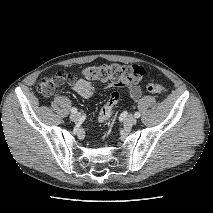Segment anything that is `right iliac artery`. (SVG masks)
I'll return each instance as SVG.
<instances>
[{"instance_id":"obj_1","label":"right iliac artery","mask_w":213,"mask_h":213,"mask_svg":"<svg viewBox=\"0 0 213 213\" xmlns=\"http://www.w3.org/2000/svg\"><path fill=\"white\" fill-rule=\"evenodd\" d=\"M72 113H77V109L75 107L71 108Z\"/></svg>"}]
</instances>
